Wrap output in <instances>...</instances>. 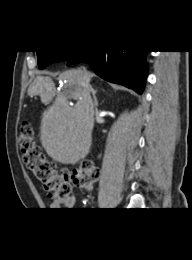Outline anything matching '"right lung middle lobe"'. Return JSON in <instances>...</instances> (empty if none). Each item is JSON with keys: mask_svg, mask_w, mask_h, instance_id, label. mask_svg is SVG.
<instances>
[{"mask_svg": "<svg viewBox=\"0 0 192 260\" xmlns=\"http://www.w3.org/2000/svg\"><path fill=\"white\" fill-rule=\"evenodd\" d=\"M73 53L74 51H70L68 55L67 51H37L39 68L43 69L53 62L64 61Z\"/></svg>", "mask_w": 192, "mask_h": 260, "instance_id": "dd1d6c3e", "label": "right lung middle lobe"}]
</instances>
